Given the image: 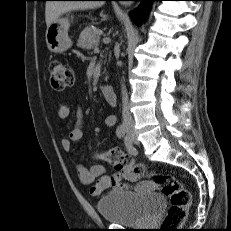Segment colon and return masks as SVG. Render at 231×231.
<instances>
[{"label": "colon", "instance_id": "obj_1", "mask_svg": "<svg viewBox=\"0 0 231 231\" xmlns=\"http://www.w3.org/2000/svg\"><path fill=\"white\" fill-rule=\"evenodd\" d=\"M50 81L55 90L64 91L74 84L72 72L61 61L50 63ZM94 157L112 164L117 172L131 182L140 178L150 177L169 199L170 207L163 220L160 231H175L186 220L191 205V195L186 187L174 176L163 173H148L145 165L135 164L133 159L119 148H112L105 152H97Z\"/></svg>", "mask_w": 231, "mask_h": 231}]
</instances>
